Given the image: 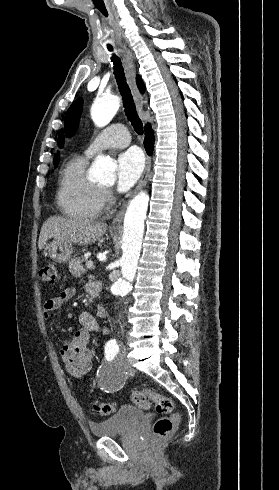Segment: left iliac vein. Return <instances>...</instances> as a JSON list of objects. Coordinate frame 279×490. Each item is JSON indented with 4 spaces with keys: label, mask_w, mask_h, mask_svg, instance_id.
<instances>
[{
    "label": "left iliac vein",
    "mask_w": 279,
    "mask_h": 490,
    "mask_svg": "<svg viewBox=\"0 0 279 490\" xmlns=\"http://www.w3.org/2000/svg\"><path fill=\"white\" fill-rule=\"evenodd\" d=\"M124 362H125V364H127V365H128V364H130V362H131V361H130V359H128V358H127V359H125V361H124Z\"/></svg>",
    "instance_id": "left-iliac-vein-1"
}]
</instances>
